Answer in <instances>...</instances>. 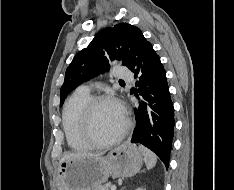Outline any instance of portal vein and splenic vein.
<instances>
[{"mask_svg":"<svg viewBox=\"0 0 234 190\" xmlns=\"http://www.w3.org/2000/svg\"><path fill=\"white\" fill-rule=\"evenodd\" d=\"M111 190H116V186H115V185H112V186H111Z\"/></svg>","mask_w":234,"mask_h":190,"instance_id":"1","label":"portal vein and splenic vein"}]
</instances>
